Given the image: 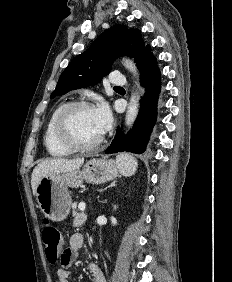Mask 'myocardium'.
<instances>
[{"label": "myocardium", "mask_w": 232, "mask_h": 282, "mask_svg": "<svg viewBox=\"0 0 232 282\" xmlns=\"http://www.w3.org/2000/svg\"><path fill=\"white\" fill-rule=\"evenodd\" d=\"M81 108H93V105L85 100L72 101L65 104L58 113L54 124V135L56 140L71 151H89L97 148L104 141L102 134L96 141L82 144L75 141L69 134L67 124L73 111Z\"/></svg>", "instance_id": "f54148a6"}]
</instances>
